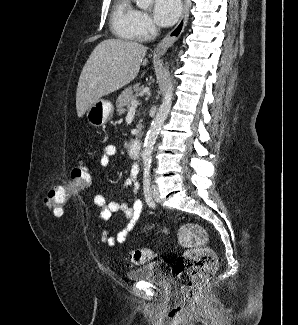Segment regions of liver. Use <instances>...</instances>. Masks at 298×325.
I'll return each mask as SVG.
<instances>
[{
	"label": "liver",
	"mask_w": 298,
	"mask_h": 325,
	"mask_svg": "<svg viewBox=\"0 0 298 325\" xmlns=\"http://www.w3.org/2000/svg\"><path fill=\"white\" fill-rule=\"evenodd\" d=\"M148 46L105 38L93 48L79 76L76 90V110L79 118L102 96L116 92L136 78ZM145 72H142L143 78Z\"/></svg>",
	"instance_id": "6515ba94"
}]
</instances>
